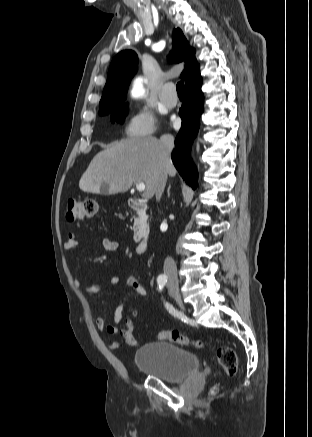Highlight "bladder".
Masks as SVG:
<instances>
[{
    "mask_svg": "<svg viewBox=\"0 0 312 437\" xmlns=\"http://www.w3.org/2000/svg\"><path fill=\"white\" fill-rule=\"evenodd\" d=\"M134 360L139 370L169 383L200 374L197 355L167 341L144 344L136 351Z\"/></svg>",
    "mask_w": 312,
    "mask_h": 437,
    "instance_id": "1",
    "label": "bladder"
}]
</instances>
